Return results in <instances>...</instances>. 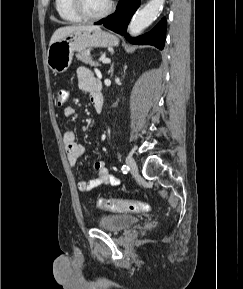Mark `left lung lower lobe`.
I'll use <instances>...</instances> for the list:
<instances>
[{
    "label": "left lung lower lobe",
    "mask_w": 243,
    "mask_h": 289,
    "mask_svg": "<svg viewBox=\"0 0 243 289\" xmlns=\"http://www.w3.org/2000/svg\"><path fill=\"white\" fill-rule=\"evenodd\" d=\"M139 5L140 0H119L115 13L95 24H103L106 28L123 35L134 44L153 45L162 50L166 34V20L164 18L150 32L133 40L126 33L127 25Z\"/></svg>",
    "instance_id": "1"
}]
</instances>
